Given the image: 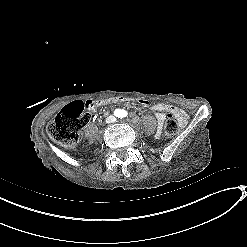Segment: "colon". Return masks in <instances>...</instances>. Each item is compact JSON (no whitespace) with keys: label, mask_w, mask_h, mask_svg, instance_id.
I'll list each match as a JSON object with an SVG mask.
<instances>
[{"label":"colon","mask_w":247,"mask_h":247,"mask_svg":"<svg viewBox=\"0 0 247 247\" xmlns=\"http://www.w3.org/2000/svg\"><path fill=\"white\" fill-rule=\"evenodd\" d=\"M126 106L137 108L139 106L147 107L152 105V100H141L134 96L109 95L89 100L85 103L75 102L66 106L59 112L56 118L47 128L49 137L61 143L64 146H74L78 142L81 129L89 122V116L86 113L100 108L110 106ZM178 123L171 113L167 114L165 122V132L171 136L176 133Z\"/></svg>","instance_id":"obj_1"}]
</instances>
